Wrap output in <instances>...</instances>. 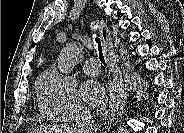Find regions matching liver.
<instances>
[{
    "mask_svg": "<svg viewBox=\"0 0 184 133\" xmlns=\"http://www.w3.org/2000/svg\"><path fill=\"white\" fill-rule=\"evenodd\" d=\"M35 133H75L71 127H40L34 130Z\"/></svg>",
    "mask_w": 184,
    "mask_h": 133,
    "instance_id": "1",
    "label": "liver"
}]
</instances>
